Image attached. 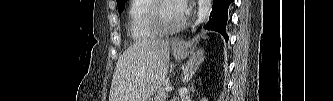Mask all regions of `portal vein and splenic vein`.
<instances>
[{"mask_svg": "<svg viewBox=\"0 0 333 101\" xmlns=\"http://www.w3.org/2000/svg\"><path fill=\"white\" fill-rule=\"evenodd\" d=\"M174 88L172 87V86H167L166 88H165V90L167 91V92H169V91H172Z\"/></svg>", "mask_w": 333, "mask_h": 101, "instance_id": "portal-vein-and-splenic-vein-1", "label": "portal vein and splenic vein"}]
</instances>
